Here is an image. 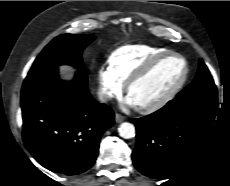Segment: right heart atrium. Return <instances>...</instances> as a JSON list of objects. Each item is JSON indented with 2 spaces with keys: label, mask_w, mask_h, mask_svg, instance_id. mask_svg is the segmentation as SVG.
I'll list each match as a JSON object with an SVG mask.
<instances>
[{
  "label": "right heart atrium",
  "mask_w": 230,
  "mask_h": 186,
  "mask_svg": "<svg viewBox=\"0 0 230 186\" xmlns=\"http://www.w3.org/2000/svg\"><path fill=\"white\" fill-rule=\"evenodd\" d=\"M98 83L99 93L104 101L119 95L123 89V83L105 65L98 69Z\"/></svg>",
  "instance_id": "d8ad5b80"
}]
</instances>
